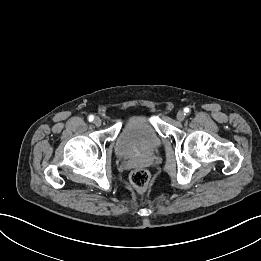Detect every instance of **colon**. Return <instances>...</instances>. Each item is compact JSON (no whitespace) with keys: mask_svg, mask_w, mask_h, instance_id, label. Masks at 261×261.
Instances as JSON below:
<instances>
[{"mask_svg":"<svg viewBox=\"0 0 261 261\" xmlns=\"http://www.w3.org/2000/svg\"><path fill=\"white\" fill-rule=\"evenodd\" d=\"M130 180L135 189L143 191L148 186L150 176L147 170L136 169L131 173Z\"/></svg>","mask_w":261,"mask_h":261,"instance_id":"obj_1","label":"colon"}]
</instances>
